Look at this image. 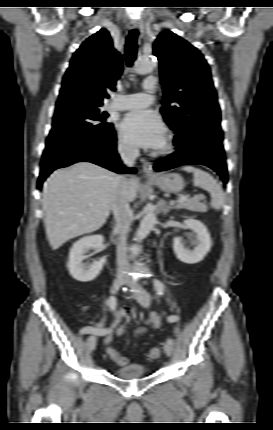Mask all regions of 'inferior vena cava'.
<instances>
[{
	"label": "inferior vena cava",
	"mask_w": 273,
	"mask_h": 430,
	"mask_svg": "<svg viewBox=\"0 0 273 430\" xmlns=\"http://www.w3.org/2000/svg\"><path fill=\"white\" fill-rule=\"evenodd\" d=\"M118 151L124 164L128 167H133L136 158L139 156V150L135 147L120 146ZM126 181L127 178L125 175H116L113 180V192L111 196L112 210L115 217V230L119 235L117 244V265L118 277L121 278L127 277L124 274L128 269L126 240L133 218V212L124 192Z\"/></svg>",
	"instance_id": "602c4592"
}]
</instances>
